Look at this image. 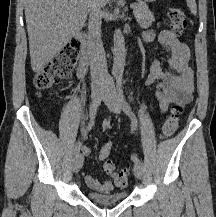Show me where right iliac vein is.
Segmentation results:
<instances>
[{"label": "right iliac vein", "mask_w": 216, "mask_h": 217, "mask_svg": "<svg viewBox=\"0 0 216 217\" xmlns=\"http://www.w3.org/2000/svg\"><path fill=\"white\" fill-rule=\"evenodd\" d=\"M104 90L105 88L103 87H96L92 90L91 97L93 103H96L97 105L100 103L104 94ZM83 162H84L83 155L77 154L73 160V171L76 173L79 172L83 166Z\"/></svg>", "instance_id": "obj_1"}]
</instances>
